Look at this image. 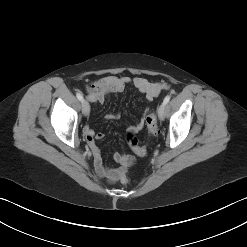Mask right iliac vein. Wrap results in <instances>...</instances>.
<instances>
[{
  "instance_id": "1",
  "label": "right iliac vein",
  "mask_w": 247,
  "mask_h": 247,
  "mask_svg": "<svg viewBox=\"0 0 247 247\" xmlns=\"http://www.w3.org/2000/svg\"><path fill=\"white\" fill-rule=\"evenodd\" d=\"M82 112L84 116H88L90 113V105L86 100L82 101Z\"/></svg>"
}]
</instances>
